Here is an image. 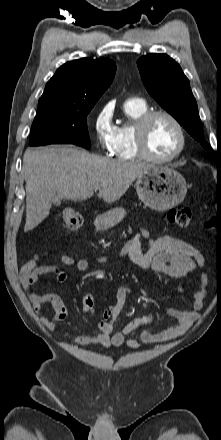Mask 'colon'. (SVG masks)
Listing matches in <instances>:
<instances>
[{
	"label": "colon",
	"mask_w": 221,
	"mask_h": 440,
	"mask_svg": "<svg viewBox=\"0 0 221 440\" xmlns=\"http://www.w3.org/2000/svg\"><path fill=\"white\" fill-rule=\"evenodd\" d=\"M63 225L66 229L77 230L83 224V218L81 214L72 208H66L62 213ZM168 221L180 228L187 227L192 219V211L188 207H176L168 211ZM210 222L205 223V227H209ZM83 310L86 312L92 311L94 308V298L92 295H86L82 300ZM108 309H100V318H113L114 312L109 305Z\"/></svg>",
	"instance_id": "1"
}]
</instances>
